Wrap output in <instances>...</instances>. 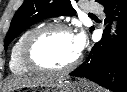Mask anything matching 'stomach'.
<instances>
[{"instance_id":"stomach-1","label":"stomach","mask_w":127,"mask_h":92,"mask_svg":"<svg viewBox=\"0 0 127 92\" xmlns=\"http://www.w3.org/2000/svg\"><path fill=\"white\" fill-rule=\"evenodd\" d=\"M44 92H93L90 83L86 80L74 82L64 81L53 86H49Z\"/></svg>"}]
</instances>
